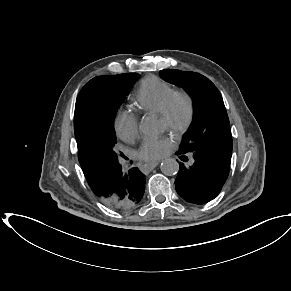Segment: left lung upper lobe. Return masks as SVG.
Returning a JSON list of instances; mask_svg holds the SVG:
<instances>
[{"label":"left lung upper lobe","mask_w":291,"mask_h":291,"mask_svg":"<svg viewBox=\"0 0 291 291\" xmlns=\"http://www.w3.org/2000/svg\"><path fill=\"white\" fill-rule=\"evenodd\" d=\"M160 76L182 87L194 103L193 123L184 136L179 152H192L193 157L230 169L233 146L230 123L216 86L196 72L166 69L160 71Z\"/></svg>","instance_id":"obj_1"}]
</instances>
